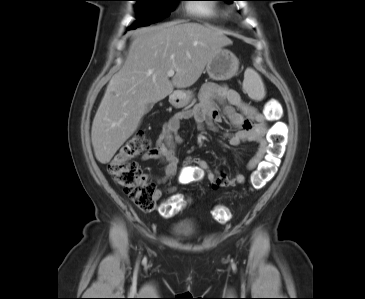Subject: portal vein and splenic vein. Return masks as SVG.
<instances>
[{
	"mask_svg": "<svg viewBox=\"0 0 365 299\" xmlns=\"http://www.w3.org/2000/svg\"><path fill=\"white\" fill-rule=\"evenodd\" d=\"M174 74H175V71H174V70H169V71L167 72V75H168L169 77L174 76Z\"/></svg>",
	"mask_w": 365,
	"mask_h": 299,
	"instance_id": "obj_1",
	"label": "portal vein and splenic vein"
}]
</instances>
